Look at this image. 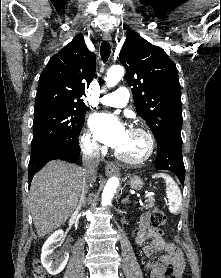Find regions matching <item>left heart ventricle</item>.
<instances>
[{"label": "left heart ventricle", "mask_w": 221, "mask_h": 278, "mask_svg": "<svg viewBox=\"0 0 221 278\" xmlns=\"http://www.w3.org/2000/svg\"><path fill=\"white\" fill-rule=\"evenodd\" d=\"M117 150L128 158H141L147 150L146 140L141 134L128 132L125 143Z\"/></svg>", "instance_id": "obj_1"}]
</instances>
